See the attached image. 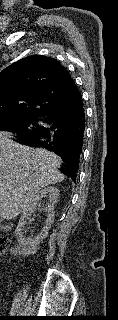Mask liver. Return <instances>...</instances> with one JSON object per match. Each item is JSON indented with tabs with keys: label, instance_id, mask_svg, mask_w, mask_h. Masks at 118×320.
<instances>
[{
	"label": "liver",
	"instance_id": "6515ba94",
	"mask_svg": "<svg viewBox=\"0 0 118 320\" xmlns=\"http://www.w3.org/2000/svg\"><path fill=\"white\" fill-rule=\"evenodd\" d=\"M0 132V217L12 219L27 209L45 186L64 180L62 160L43 148H31Z\"/></svg>",
	"mask_w": 118,
	"mask_h": 320
}]
</instances>
